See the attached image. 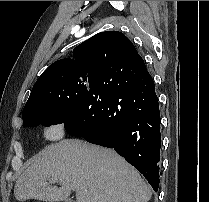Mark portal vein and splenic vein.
<instances>
[{"mask_svg":"<svg viewBox=\"0 0 209 202\" xmlns=\"http://www.w3.org/2000/svg\"><path fill=\"white\" fill-rule=\"evenodd\" d=\"M49 181H50V182H53V183L58 182V180H57L56 178H50Z\"/></svg>","mask_w":209,"mask_h":202,"instance_id":"1","label":"portal vein and splenic vein"}]
</instances>
